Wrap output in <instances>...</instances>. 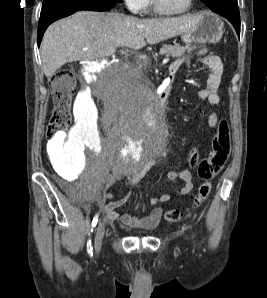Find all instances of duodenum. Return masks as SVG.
Here are the masks:
<instances>
[{"label": "duodenum", "mask_w": 267, "mask_h": 298, "mask_svg": "<svg viewBox=\"0 0 267 298\" xmlns=\"http://www.w3.org/2000/svg\"><path fill=\"white\" fill-rule=\"evenodd\" d=\"M174 74L170 71L169 79L172 80ZM169 88H166L164 91L156 95L155 100H152V105H158V109H165V105H167L166 97L168 95Z\"/></svg>", "instance_id": "obj_1"}]
</instances>
